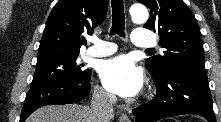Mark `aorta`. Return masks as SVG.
I'll use <instances>...</instances> for the list:
<instances>
[{
	"label": "aorta",
	"mask_w": 221,
	"mask_h": 122,
	"mask_svg": "<svg viewBox=\"0 0 221 122\" xmlns=\"http://www.w3.org/2000/svg\"><path fill=\"white\" fill-rule=\"evenodd\" d=\"M130 16L133 22L142 24L145 23L148 20V10L143 4H133L130 7Z\"/></svg>",
	"instance_id": "762f6f07"
}]
</instances>
